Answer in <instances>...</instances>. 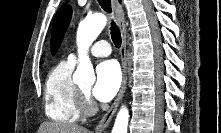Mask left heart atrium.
<instances>
[{
    "label": "left heart atrium",
    "mask_w": 221,
    "mask_h": 133,
    "mask_svg": "<svg viewBox=\"0 0 221 133\" xmlns=\"http://www.w3.org/2000/svg\"><path fill=\"white\" fill-rule=\"evenodd\" d=\"M120 82L121 74L117 63L113 60L101 62L96 68V83L92 94L97 100L108 102L117 93Z\"/></svg>",
    "instance_id": "left-heart-atrium-1"
}]
</instances>
